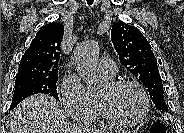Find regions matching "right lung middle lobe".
Returning a JSON list of instances; mask_svg holds the SVG:
<instances>
[{
    "label": "right lung middle lobe",
    "mask_w": 184,
    "mask_h": 133,
    "mask_svg": "<svg viewBox=\"0 0 184 133\" xmlns=\"http://www.w3.org/2000/svg\"><path fill=\"white\" fill-rule=\"evenodd\" d=\"M57 80L58 76L50 78L26 77L16 79L15 90L9 111L15 108L26 97L38 93L49 94L53 96L55 99L59 100L56 90Z\"/></svg>",
    "instance_id": "obj_1"
}]
</instances>
